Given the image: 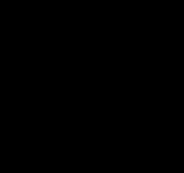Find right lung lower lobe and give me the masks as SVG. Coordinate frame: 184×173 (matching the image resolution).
Masks as SVG:
<instances>
[{"label":"right lung lower lobe","instance_id":"98d812e1","mask_svg":"<svg viewBox=\"0 0 184 173\" xmlns=\"http://www.w3.org/2000/svg\"><path fill=\"white\" fill-rule=\"evenodd\" d=\"M78 119L68 117L56 123L17 133L23 148L45 163H58L71 153L77 140Z\"/></svg>","mask_w":184,"mask_h":173}]
</instances>
